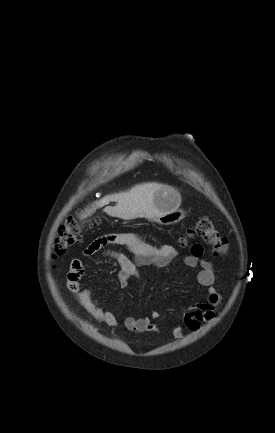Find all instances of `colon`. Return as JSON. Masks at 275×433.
<instances>
[{
    "mask_svg": "<svg viewBox=\"0 0 275 433\" xmlns=\"http://www.w3.org/2000/svg\"><path fill=\"white\" fill-rule=\"evenodd\" d=\"M98 223L97 218L86 217L84 219L70 218L62 224L55 236L53 251L55 256H61L72 247L83 231L91 229ZM199 237L212 247L216 256H224L228 251L227 240L218 232L210 217L204 216L195 221L188 230L185 237L181 239V244L187 243V238Z\"/></svg>",
    "mask_w": 275,
    "mask_h": 433,
    "instance_id": "1",
    "label": "colon"
}]
</instances>
